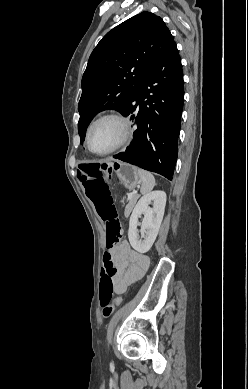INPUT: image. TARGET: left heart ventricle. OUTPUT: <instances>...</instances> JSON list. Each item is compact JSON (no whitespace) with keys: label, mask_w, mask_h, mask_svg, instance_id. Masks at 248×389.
Instances as JSON below:
<instances>
[{"label":"left heart ventricle","mask_w":248,"mask_h":389,"mask_svg":"<svg viewBox=\"0 0 248 389\" xmlns=\"http://www.w3.org/2000/svg\"><path fill=\"white\" fill-rule=\"evenodd\" d=\"M121 136V127L114 120H104L98 123L91 133V148L104 151L113 146Z\"/></svg>","instance_id":"obj_1"}]
</instances>
